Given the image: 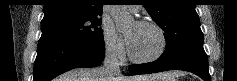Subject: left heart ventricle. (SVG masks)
<instances>
[{
    "instance_id": "left-heart-ventricle-1",
    "label": "left heart ventricle",
    "mask_w": 237,
    "mask_h": 81,
    "mask_svg": "<svg viewBox=\"0 0 237 81\" xmlns=\"http://www.w3.org/2000/svg\"><path fill=\"white\" fill-rule=\"evenodd\" d=\"M126 35L129 39L131 51L137 57L152 55L160 46L158 34L149 26L133 23L128 28Z\"/></svg>"
}]
</instances>
